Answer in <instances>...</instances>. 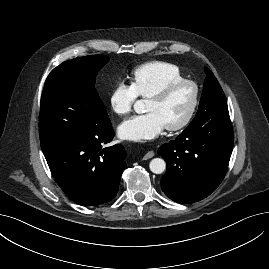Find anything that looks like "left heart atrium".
Segmentation results:
<instances>
[{
	"label": "left heart atrium",
	"mask_w": 269,
	"mask_h": 269,
	"mask_svg": "<svg viewBox=\"0 0 269 269\" xmlns=\"http://www.w3.org/2000/svg\"><path fill=\"white\" fill-rule=\"evenodd\" d=\"M165 128L164 121L157 113L148 112L123 121L118 127V134L125 140L144 142L155 139Z\"/></svg>",
	"instance_id": "obj_1"
}]
</instances>
